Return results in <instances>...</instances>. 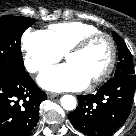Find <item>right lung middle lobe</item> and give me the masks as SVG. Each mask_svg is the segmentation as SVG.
Listing matches in <instances>:
<instances>
[{"instance_id":"1","label":"right lung middle lobe","mask_w":136,"mask_h":136,"mask_svg":"<svg viewBox=\"0 0 136 136\" xmlns=\"http://www.w3.org/2000/svg\"><path fill=\"white\" fill-rule=\"evenodd\" d=\"M34 21L33 18L20 16L0 18V77L18 76L25 72L20 38Z\"/></svg>"}]
</instances>
